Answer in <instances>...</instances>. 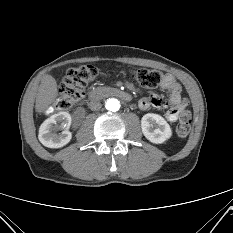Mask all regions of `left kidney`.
Segmentation results:
<instances>
[{"instance_id": "5707ae66", "label": "left kidney", "mask_w": 233, "mask_h": 233, "mask_svg": "<svg viewBox=\"0 0 233 233\" xmlns=\"http://www.w3.org/2000/svg\"><path fill=\"white\" fill-rule=\"evenodd\" d=\"M141 128L144 136L155 144H161L172 136L170 125L158 114H145L141 119Z\"/></svg>"}]
</instances>
